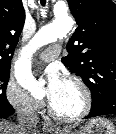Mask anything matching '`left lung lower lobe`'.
Returning a JSON list of instances; mask_svg holds the SVG:
<instances>
[{
	"mask_svg": "<svg viewBox=\"0 0 116 134\" xmlns=\"http://www.w3.org/2000/svg\"><path fill=\"white\" fill-rule=\"evenodd\" d=\"M102 115H116V103L92 106L87 118Z\"/></svg>",
	"mask_w": 116,
	"mask_h": 134,
	"instance_id": "1",
	"label": "left lung lower lobe"
}]
</instances>
